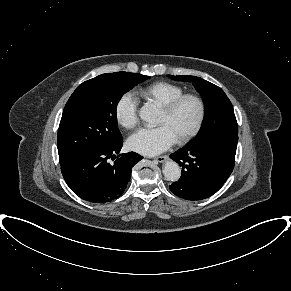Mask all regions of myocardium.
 Returning a JSON list of instances; mask_svg holds the SVG:
<instances>
[{"label":"myocardium","mask_w":291,"mask_h":291,"mask_svg":"<svg viewBox=\"0 0 291 291\" xmlns=\"http://www.w3.org/2000/svg\"><path fill=\"white\" fill-rule=\"evenodd\" d=\"M191 99L196 102L198 106V116L196 119V122L192 129L183 137L177 139L178 144H185L192 140L201 130L203 123L205 121L206 117V104L204 99L195 93H183L182 95L176 97L168 104L164 105L162 107V111H164L166 114H173L179 106L186 100Z\"/></svg>","instance_id":"f54148a6"}]
</instances>
